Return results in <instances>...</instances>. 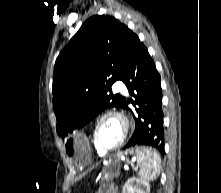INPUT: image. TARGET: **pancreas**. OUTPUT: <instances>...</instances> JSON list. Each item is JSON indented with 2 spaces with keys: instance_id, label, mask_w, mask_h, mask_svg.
<instances>
[{
  "instance_id": "1",
  "label": "pancreas",
  "mask_w": 221,
  "mask_h": 193,
  "mask_svg": "<svg viewBox=\"0 0 221 193\" xmlns=\"http://www.w3.org/2000/svg\"><path fill=\"white\" fill-rule=\"evenodd\" d=\"M119 175V170H112L109 167H104L102 171V182H107L112 180L114 177Z\"/></svg>"
}]
</instances>
